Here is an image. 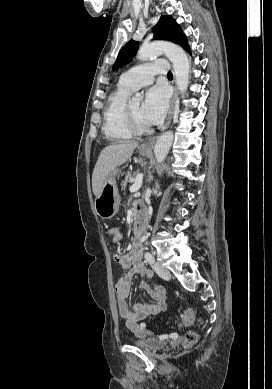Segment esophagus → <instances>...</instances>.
Returning <instances> with one entry per match:
<instances>
[{
  "mask_svg": "<svg viewBox=\"0 0 272 389\" xmlns=\"http://www.w3.org/2000/svg\"><path fill=\"white\" fill-rule=\"evenodd\" d=\"M172 85H173V88H174V94H173L172 101H171V108H170V112H169V116H168L167 122L162 127L161 131H164V130H166L169 127V125L171 123V120H172V117H173V113H174L175 101H176L177 96H178V90H177L175 78L172 81ZM156 138L157 137L151 138L148 142H146V143H144L142 145V148H151V147H153V145H154V143L156 141Z\"/></svg>",
  "mask_w": 272,
  "mask_h": 389,
  "instance_id": "34e87169",
  "label": "esophagus"
}]
</instances>
